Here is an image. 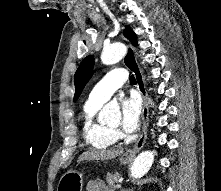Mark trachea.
<instances>
[{"label": "trachea", "mask_w": 221, "mask_h": 191, "mask_svg": "<svg viewBox=\"0 0 221 191\" xmlns=\"http://www.w3.org/2000/svg\"><path fill=\"white\" fill-rule=\"evenodd\" d=\"M130 82L133 83V84H136V80H135L134 75L130 76Z\"/></svg>", "instance_id": "3493384b"}]
</instances>
